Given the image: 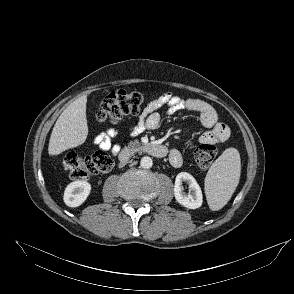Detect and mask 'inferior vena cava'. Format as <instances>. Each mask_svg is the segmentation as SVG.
Instances as JSON below:
<instances>
[{
    "label": "inferior vena cava",
    "instance_id": "inferior-vena-cava-1",
    "mask_svg": "<svg viewBox=\"0 0 294 294\" xmlns=\"http://www.w3.org/2000/svg\"><path fill=\"white\" fill-rule=\"evenodd\" d=\"M126 162H127V159H122V158H121V163H120V165L123 166V165H125Z\"/></svg>",
    "mask_w": 294,
    "mask_h": 294
}]
</instances>
